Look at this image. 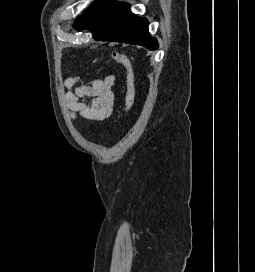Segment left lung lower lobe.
<instances>
[{"label":"left lung lower lobe","instance_id":"obj_1","mask_svg":"<svg viewBox=\"0 0 255 272\" xmlns=\"http://www.w3.org/2000/svg\"><path fill=\"white\" fill-rule=\"evenodd\" d=\"M77 30H89L96 41H115L158 48L148 32V20L131 13L129 4L114 0H95L74 22Z\"/></svg>","mask_w":255,"mask_h":272}]
</instances>
